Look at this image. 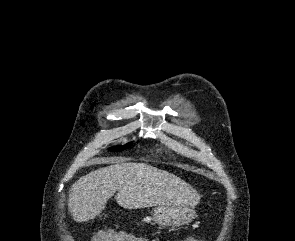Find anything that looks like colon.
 Listing matches in <instances>:
<instances>
[{
    "mask_svg": "<svg viewBox=\"0 0 295 241\" xmlns=\"http://www.w3.org/2000/svg\"><path fill=\"white\" fill-rule=\"evenodd\" d=\"M132 237H135V236H132L124 232H118V231H112V230H100L95 234L93 241H132L131 239ZM192 241H201V240L192 239Z\"/></svg>",
    "mask_w": 295,
    "mask_h": 241,
    "instance_id": "colon-1",
    "label": "colon"
}]
</instances>
